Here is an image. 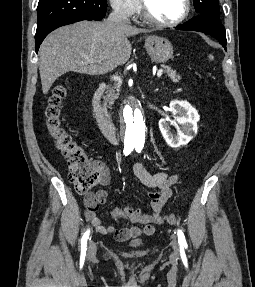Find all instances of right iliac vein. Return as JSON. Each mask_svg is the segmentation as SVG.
<instances>
[{
  "label": "right iliac vein",
  "instance_id": "obj_1",
  "mask_svg": "<svg viewBox=\"0 0 255 287\" xmlns=\"http://www.w3.org/2000/svg\"><path fill=\"white\" fill-rule=\"evenodd\" d=\"M96 254V247L94 244H90L88 255L90 258H93Z\"/></svg>",
  "mask_w": 255,
  "mask_h": 287
}]
</instances>
